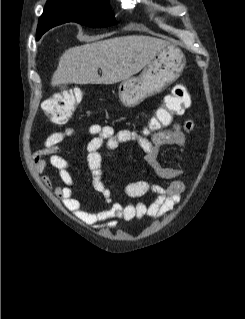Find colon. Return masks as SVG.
Masks as SVG:
<instances>
[{
  "mask_svg": "<svg viewBox=\"0 0 245 319\" xmlns=\"http://www.w3.org/2000/svg\"><path fill=\"white\" fill-rule=\"evenodd\" d=\"M185 96L184 89L172 92L165 99V104L156 111L143 132L149 135L171 125L174 118L182 115L187 107L184 102ZM81 99L82 92L78 89L62 92L44 102V111L52 122L62 123L69 119Z\"/></svg>",
  "mask_w": 245,
  "mask_h": 319,
  "instance_id": "colon-1",
  "label": "colon"
}]
</instances>
